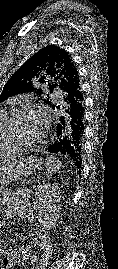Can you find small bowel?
<instances>
[{"mask_svg": "<svg viewBox=\"0 0 118 269\" xmlns=\"http://www.w3.org/2000/svg\"><path fill=\"white\" fill-rule=\"evenodd\" d=\"M24 200L17 197H12L11 199L5 201V216L7 220L14 219L22 208V203ZM28 237L36 244L40 245L42 249H45L48 243V236L42 232L40 229L35 228L28 234ZM18 240H22L20 237ZM30 252L27 245H22L19 248H6L0 245V256L3 257L4 267L11 268L16 264L27 261L29 259ZM0 269H4L1 268Z\"/></svg>", "mask_w": 118, "mask_h": 269, "instance_id": "obj_1", "label": "small bowel"}]
</instances>
